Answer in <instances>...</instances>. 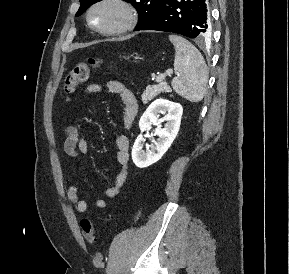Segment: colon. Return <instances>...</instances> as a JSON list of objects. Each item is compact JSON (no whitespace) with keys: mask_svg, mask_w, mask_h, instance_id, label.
Returning a JSON list of instances; mask_svg holds the SVG:
<instances>
[{"mask_svg":"<svg viewBox=\"0 0 289 274\" xmlns=\"http://www.w3.org/2000/svg\"><path fill=\"white\" fill-rule=\"evenodd\" d=\"M103 61L98 58H91L87 62L79 63L68 71L63 81V92L70 96L74 94L78 86L85 82L92 70L99 68ZM81 229L84 238L89 242L95 241V228L92 221L88 218L81 220Z\"/></svg>","mask_w":289,"mask_h":274,"instance_id":"colon-1","label":"colon"}]
</instances>
